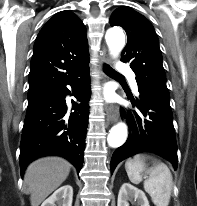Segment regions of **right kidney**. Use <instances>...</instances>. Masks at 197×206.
<instances>
[{"instance_id": "right-kidney-1", "label": "right kidney", "mask_w": 197, "mask_h": 206, "mask_svg": "<svg viewBox=\"0 0 197 206\" xmlns=\"http://www.w3.org/2000/svg\"><path fill=\"white\" fill-rule=\"evenodd\" d=\"M73 188L64 185L57 189L41 206H72Z\"/></svg>"}]
</instances>
